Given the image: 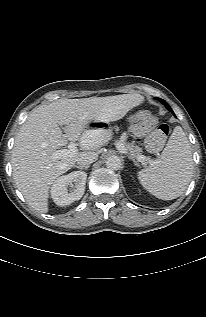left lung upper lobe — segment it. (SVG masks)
<instances>
[{"instance_id": "1", "label": "left lung upper lobe", "mask_w": 206, "mask_h": 317, "mask_svg": "<svg viewBox=\"0 0 206 317\" xmlns=\"http://www.w3.org/2000/svg\"><path fill=\"white\" fill-rule=\"evenodd\" d=\"M158 99H159L161 102L165 103V106L167 107V109L173 113L171 107H170L166 102H164V100H162V99H160V98H158Z\"/></svg>"}]
</instances>
